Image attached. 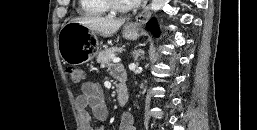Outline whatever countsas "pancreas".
<instances>
[{"instance_id":"obj_1","label":"pancreas","mask_w":257,"mask_h":130,"mask_svg":"<svg viewBox=\"0 0 257 130\" xmlns=\"http://www.w3.org/2000/svg\"><path fill=\"white\" fill-rule=\"evenodd\" d=\"M118 50L119 49L117 47H111L101 51L97 56V59H96L97 63H100L102 65H108L112 61L115 53Z\"/></svg>"}]
</instances>
